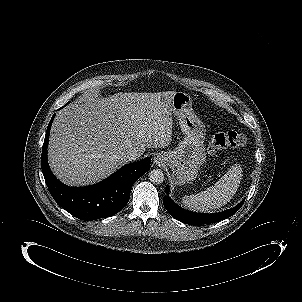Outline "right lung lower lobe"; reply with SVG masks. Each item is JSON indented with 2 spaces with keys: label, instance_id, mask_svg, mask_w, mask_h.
Returning a JSON list of instances; mask_svg holds the SVG:
<instances>
[{
  "label": "right lung lower lobe",
  "instance_id": "right-lung-lower-lobe-1",
  "mask_svg": "<svg viewBox=\"0 0 302 302\" xmlns=\"http://www.w3.org/2000/svg\"><path fill=\"white\" fill-rule=\"evenodd\" d=\"M53 115L42 148V172L54 200L78 219L92 221L109 217L122 210L129 201L133 184L150 170V158L128 164L105 180L91 186L69 187L51 172L47 161V146Z\"/></svg>",
  "mask_w": 302,
  "mask_h": 302
}]
</instances>
